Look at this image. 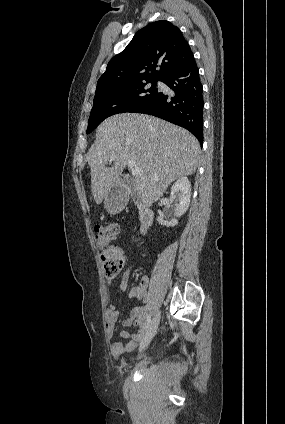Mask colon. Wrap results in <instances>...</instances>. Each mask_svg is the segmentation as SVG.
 I'll return each mask as SVG.
<instances>
[{
    "label": "colon",
    "instance_id": "1",
    "mask_svg": "<svg viewBox=\"0 0 285 424\" xmlns=\"http://www.w3.org/2000/svg\"><path fill=\"white\" fill-rule=\"evenodd\" d=\"M119 231L120 227L116 223L94 227L95 244L103 250L101 261L103 270L108 277L116 276L123 267L121 251L113 245Z\"/></svg>",
    "mask_w": 285,
    "mask_h": 424
}]
</instances>
